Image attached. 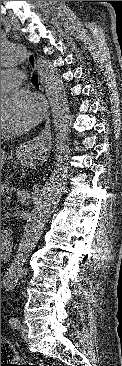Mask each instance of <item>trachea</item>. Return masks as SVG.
Returning <instances> with one entry per match:
<instances>
[{
    "instance_id": "trachea-1",
    "label": "trachea",
    "mask_w": 122,
    "mask_h": 366,
    "mask_svg": "<svg viewBox=\"0 0 122 366\" xmlns=\"http://www.w3.org/2000/svg\"><path fill=\"white\" fill-rule=\"evenodd\" d=\"M31 82L34 86H39V83H38V77L36 74H34L31 78Z\"/></svg>"
}]
</instances>
